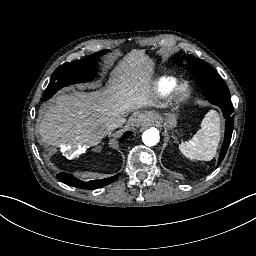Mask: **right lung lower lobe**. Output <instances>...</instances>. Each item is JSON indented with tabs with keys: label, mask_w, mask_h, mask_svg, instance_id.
<instances>
[{
	"label": "right lung lower lobe",
	"mask_w": 256,
	"mask_h": 256,
	"mask_svg": "<svg viewBox=\"0 0 256 256\" xmlns=\"http://www.w3.org/2000/svg\"><path fill=\"white\" fill-rule=\"evenodd\" d=\"M131 135V132H126L124 136L122 137V140L127 138ZM118 177V174L109 178L100 179V180H94L89 182H83L78 179H76L74 176L68 173H59L57 175V178L70 186L76 187V188H84V189H96L105 185H108L112 183L116 178Z\"/></svg>",
	"instance_id": "right-lung-lower-lobe-1"
}]
</instances>
